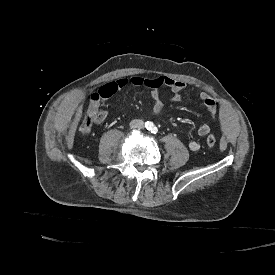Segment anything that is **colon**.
Instances as JSON below:
<instances>
[{"label": "colon", "instance_id": "obj_1", "mask_svg": "<svg viewBox=\"0 0 275 275\" xmlns=\"http://www.w3.org/2000/svg\"><path fill=\"white\" fill-rule=\"evenodd\" d=\"M104 117L105 113L102 106L97 102L96 98H92L88 111L84 115L80 125V130L82 132H89L92 128L93 122L96 120H102ZM206 141L209 146H214L216 139L214 136H209Z\"/></svg>", "mask_w": 275, "mask_h": 275}]
</instances>
